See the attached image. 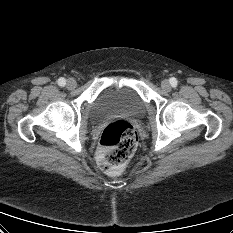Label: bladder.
Returning <instances> with one entry per match:
<instances>
[{
    "mask_svg": "<svg viewBox=\"0 0 233 233\" xmlns=\"http://www.w3.org/2000/svg\"><path fill=\"white\" fill-rule=\"evenodd\" d=\"M146 103L140 94L130 86H110L99 93L90 109L92 121L123 114L140 117L145 113Z\"/></svg>",
    "mask_w": 233,
    "mask_h": 233,
    "instance_id": "obj_1",
    "label": "bladder"
}]
</instances>
